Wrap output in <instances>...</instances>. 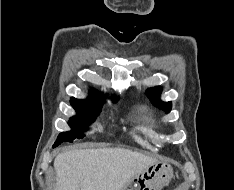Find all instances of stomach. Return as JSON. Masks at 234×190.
<instances>
[{
  "label": "stomach",
  "mask_w": 234,
  "mask_h": 190,
  "mask_svg": "<svg viewBox=\"0 0 234 190\" xmlns=\"http://www.w3.org/2000/svg\"><path fill=\"white\" fill-rule=\"evenodd\" d=\"M173 178V168L167 162L155 161L135 175L122 190H161Z\"/></svg>",
  "instance_id": "0dacf381"
}]
</instances>
